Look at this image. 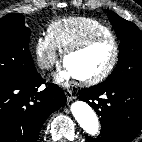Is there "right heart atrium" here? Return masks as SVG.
Wrapping results in <instances>:
<instances>
[{
    "label": "right heart atrium",
    "mask_w": 142,
    "mask_h": 142,
    "mask_svg": "<svg viewBox=\"0 0 142 142\" xmlns=\"http://www.w3.org/2000/svg\"><path fill=\"white\" fill-rule=\"evenodd\" d=\"M34 52L37 63L43 70H49L57 63V48L47 35H40L36 38Z\"/></svg>",
    "instance_id": "right-heart-atrium-1"
}]
</instances>
